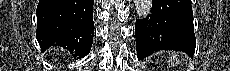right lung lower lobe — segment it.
<instances>
[{
	"label": "right lung lower lobe",
	"instance_id": "98d812e1",
	"mask_svg": "<svg viewBox=\"0 0 230 71\" xmlns=\"http://www.w3.org/2000/svg\"><path fill=\"white\" fill-rule=\"evenodd\" d=\"M93 3L94 0H39L36 38L41 51L60 46L75 58L86 56L94 35Z\"/></svg>",
	"mask_w": 230,
	"mask_h": 71
}]
</instances>
